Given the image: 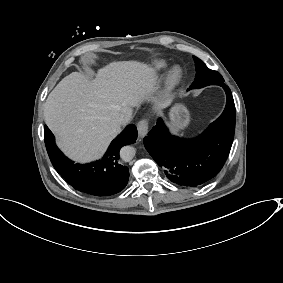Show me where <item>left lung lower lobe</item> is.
Listing matches in <instances>:
<instances>
[{"label":"left lung lower lobe","instance_id":"obj_1","mask_svg":"<svg viewBox=\"0 0 283 283\" xmlns=\"http://www.w3.org/2000/svg\"><path fill=\"white\" fill-rule=\"evenodd\" d=\"M222 115L194 139H180L169 133L161 118L144 138V145L164 169L167 178L181 186L196 187L215 177L229 155L235 131V105L231 90Z\"/></svg>","mask_w":283,"mask_h":283}]
</instances>
